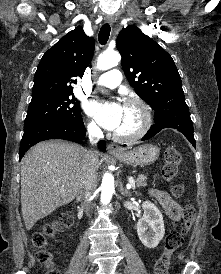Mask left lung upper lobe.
<instances>
[{
	"instance_id": "1",
	"label": "left lung upper lobe",
	"mask_w": 221,
	"mask_h": 274,
	"mask_svg": "<svg viewBox=\"0 0 221 274\" xmlns=\"http://www.w3.org/2000/svg\"><path fill=\"white\" fill-rule=\"evenodd\" d=\"M116 46L128 81L155 115L185 102L176 65L157 42L130 25L120 31Z\"/></svg>"
}]
</instances>
